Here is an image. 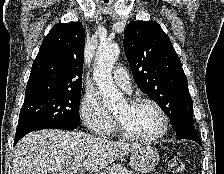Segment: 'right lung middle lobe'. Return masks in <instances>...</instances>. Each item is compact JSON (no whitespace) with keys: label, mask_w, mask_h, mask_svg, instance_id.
I'll return each mask as SVG.
<instances>
[{"label":"right lung middle lobe","mask_w":224,"mask_h":174,"mask_svg":"<svg viewBox=\"0 0 224 174\" xmlns=\"http://www.w3.org/2000/svg\"><path fill=\"white\" fill-rule=\"evenodd\" d=\"M81 89L26 94L18 127L32 124L61 126L80 122Z\"/></svg>","instance_id":"dd1d6c3e"}]
</instances>
